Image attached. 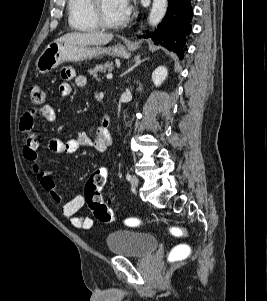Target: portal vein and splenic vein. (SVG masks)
Wrapping results in <instances>:
<instances>
[{
  "label": "portal vein and splenic vein",
  "instance_id": "obj_1",
  "mask_svg": "<svg viewBox=\"0 0 267 301\" xmlns=\"http://www.w3.org/2000/svg\"><path fill=\"white\" fill-rule=\"evenodd\" d=\"M106 77H107V79H112L113 78V74L111 72H109Z\"/></svg>",
  "mask_w": 267,
  "mask_h": 301
}]
</instances>
